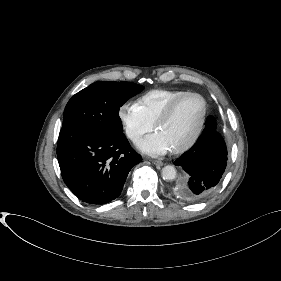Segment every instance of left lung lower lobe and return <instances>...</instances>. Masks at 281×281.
Segmentation results:
<instances>
[{"label":"left lung lower lobe","instance_id":"left-lung-lower-lobe-1","mask_svg":"<svg viewBox=\"0 0 281 281\" xmlns=\"http://www.w3.org/2000/svg\"><path fill=\"white\" fill-rule=\"evenodd\" d=\"M196 143L175 162L186 172L177 193L185 201L201 202L217 189L227 165V148L210 116Z\"/></svg>","mask_w":281,"mask_h":281}]
</instances>
